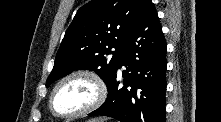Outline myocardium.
Listing matches in <instances>:
<instances>
[{"label":"myocardium","mask_w":221,"mask_h":122,"mask_svg":"<svg viewBox=\"0 0 221 122\" xmlns=\"http://www.w3.org/2000/svg\"><path fill=\"white\" fill-rule=\"evenodd\" d=\"M74 78H85L91 81L96 91L95 98L91 102V104H89L87 107H85L84 109L78 112L68 113V114L60 113L54 107L53 100H54L55 93L59 89V87L62 86L65 82ZM106 97H107V86L100 75H98L96 72L92 70H87V69L74 70L64 75L63 77H61L53 86L50 96H49V108L51 112L57 117L77 118V117L87 115L95 111L96 109H98L104 103V101L106 100Z\"/></svg>","instance_id":"f54148a6"}]
</instances>
